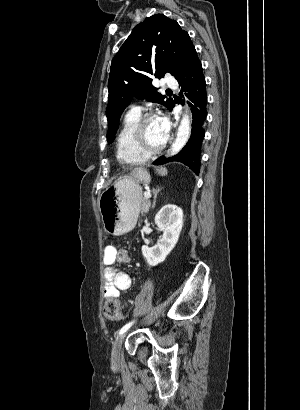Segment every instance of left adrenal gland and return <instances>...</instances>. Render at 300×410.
<instances>
[{"mask_svg":"<svg viewBox=\"0 0 300 410\" xmlns=\"http://www.w3.org/2000/svg\"><path fill=\"white\" fill-rule=\"evenodd\" d=\"M159 192H160L159 188L152 190V193L154 194L152 208L156 205V199H157V195H158Z\"/></svg>","mask_w":300,"mask_h":410,"instance_id":"a2214340","label":"left adrenal gland"}]
</instances>
